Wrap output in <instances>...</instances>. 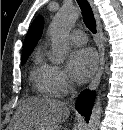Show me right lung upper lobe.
<instances>
[{
  "label": "right lung upper lobe",
  "instance_id": "1",
  "mask_svg": "<svg viewBox=\"0 0 123 130\" xmlns=\"http://www.w3.org/2000/svg\"><path fill=\"white\" fill-rule=\"evenodd\" d=\"M43 31V18L38 16L30 26L28 33L25 37L22 56L29 55L34 46L37 44L39 38L41 37Z\"/></svg>",
  "mask_w": 123,
  "mask_h": 130
}]
</instances>
